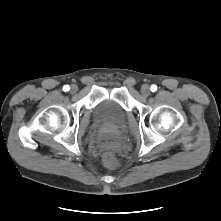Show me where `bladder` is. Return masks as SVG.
<instances>
[{
  "mask_svg": "<svg viewBox=\"0 0 221 221\" xmlns=\"http://www.w3.org/2000/svg\"><path fill=\"white\" fill-rule=\"evenodd\" d=\"M126 110L118 103L111 100L99 102L93 111V117L98 129H108L120 132L127 121Z\"/></svg>",
  "mask_w": 221,
  "mask_h": 221,
  "instance_id": "1",
  "label": "bladder"
}]
</instances>
